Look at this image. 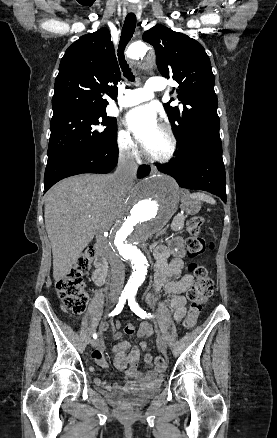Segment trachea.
Returning a JSON list of instances; mask_svg holds the SVG:
<instances>
[{
	"instance_id": "1",
	"label": "trachea",
	"mask_w": 277,
	"mask_h": 438,
	"mask_svg": "<svg viewBox=\"0 0 277 438\" xmlns=\"http://www.w3.org/2000/svg\"><path fill=\"white\" fill-rule=\"evenodd\" d=\"M136 28V15L135 13H128L125 18L124 25L121 32L119 47H118V58L119 64L123 71V75L127 78V80L134 82L135 76L133 75L129 65L127 64L124 56V50L126 45L133 37L134 31Z\"/></svg>"
}]
</instances>
